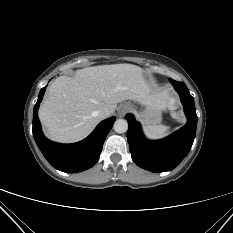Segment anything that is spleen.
<instances>
[{
    "label": "spleen",
    "mask_w": 233,
    "mask_h": 233,
    "mask_svg": "<svg viewBox=\"0 0 233 233\" xmlns=\"http://www.w3.org/2000/svg\"><path fill=\"white\" fill-rule=\"evenodd\" d=\"M173 117H175L174 113ZM143 129L145 135L152 140L164 138L170 133V127L163 125L145 126Z\"/></svg>",
    "instance_id": "3e777b00"
}]
</instances>
